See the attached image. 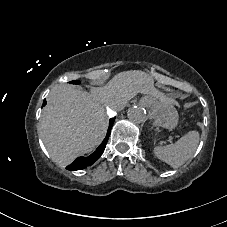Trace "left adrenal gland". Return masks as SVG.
Instances as JSON below:
<instances>
[{
    "mask_svg": "<svg viewBox=\"0 0 227 227\" xmlns=\"http://www.w3.org/2000/svg\"><path fill=\"white\" fill-rule=\"evenodd\" d=\"M158 133V127H156V133L155 134H157Z\"/></svg>",
    "mask_w": 227,
    "mask_h": 227,
    "instance_id": "obj_1",
    "label": "left adrenal gland"
}]
</instances>
